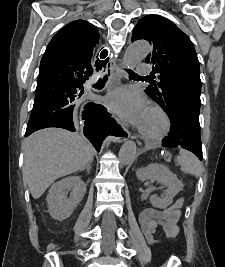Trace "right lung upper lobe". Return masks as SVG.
I'll return each mask as SVG.
<instances>
[{
	"instance_id": "cb5924a9",
	"label": "right lung upper lobe",
	"mask_w": 225,
	"mask_h": 267,
	"mask_svg": "<svg viewBox=\"0 0 225 267\" xmlns=\"http://www.w3.org/2000/svg\"><path fill=\"white\" fill-rule=\"evenodd\" d=\"M98 42L99 33L96 26L84 20H77L58 31L50 41L46 52L62 51L82 54L90 62V67L101 69L106 63L99 59L95 62L96 58L93 56Z\"/></svg>"
}]
</instances>
